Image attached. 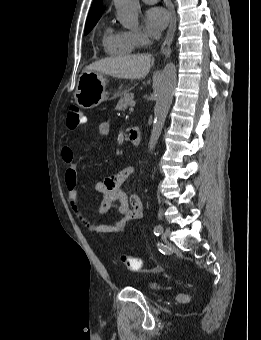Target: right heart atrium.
<instances>
[{
  "label": "right heart atrium",
  "mask_w": 261,
  "mask_h": 340,
  "mask_svg": "<svg viewBox=\"0 0 261 340\" xmlns=\"http://www.w3.org/2000/svg\"><path fill=\"white\" fill-rule=\"evenodd\" d=\"M129 34L135 41L138 47H143L148 43V36L142 30L130 31Z\"/></svg>",
  "instance_id": "d8ad5b80"
}]
</instances>
